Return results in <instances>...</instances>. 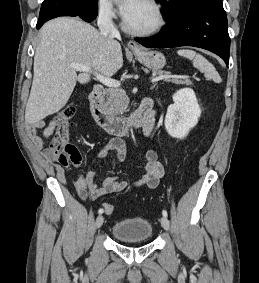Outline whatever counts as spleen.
<instances>
[{
    "label": "spleen",
    "instance_id": "3e777b00",
    "mask_svg": "<svg viewBox=\"0 0 259 283\" xmlns=\"http://www.w3.org/2000/svg\"><path fill=\"white\" fill-rule=\"evenodd\" d=\"M178 55L185 57L192 61L193 66L200 72L204 73L206 77L213 79V81L220 83L221 77L216 71L215 67L202 55L197 54L195 51L183 49L179 50Z\"/></svg>",
    "mask_w": 259,
    "mask_h": 283
}]
</instances>
